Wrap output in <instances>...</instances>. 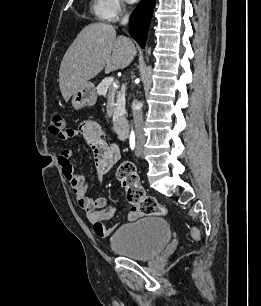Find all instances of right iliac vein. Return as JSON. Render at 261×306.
<instances>
[{
    "label": "right iliac vein",
    "instance_id": "obj_1",
    "mask_svg": "<svg viewBox=\"0 0 261 306\" xmlns=\"http://www.w3.org/2000/svg\"><path fill=\"white\" fill-rule=\"evenodd\" d=\"M142 144V142L140 141V142H138V145L140 146Z\"/></svg>",
    "mask_w": 261,
    "mask_h": 306
}]
</instances>
